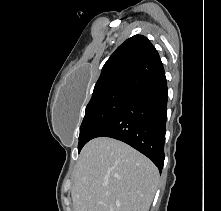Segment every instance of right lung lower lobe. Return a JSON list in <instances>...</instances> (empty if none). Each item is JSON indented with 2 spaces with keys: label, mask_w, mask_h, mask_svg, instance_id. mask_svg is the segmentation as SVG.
<instances>
[{
  "label": "right lung lower lobe",
  "mask_w": 221,
  "mask_h": 211,
  "mask_svg": "<svg viewBox=\"0 0 221 211\" xmlns=\"http://www.w3.org/2000/svg\"><path fill=\"white\" fill-rule=\"evenodd\" d=\"M168 88L165 76L134 89L128 100L94 136L123 141L162 171Z\"/></svg>",
  "instance_id": "right-lung-lower-lobe-1"
}]
</instances>
